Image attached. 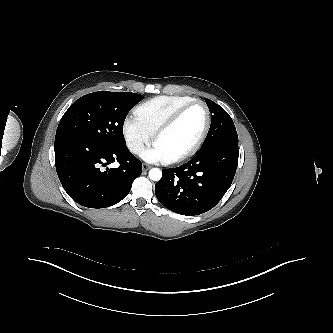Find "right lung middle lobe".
Wrapping results in <instances>:
<instances>
[{
    "mask_svg": "<svg viewBox=\"0 0 333 333\" xmlns=\"http://www.w3.org/2000/svg\"><path fill=\"white\" fill-rule=\"evenodd\" d=\"M143 96L130 92L98 91L82 96L65 112L55 138L72 137L108 147L126 145L124 120Z\"/></svg>",
    "mask_w": 333,
    "mask_h": 333,
    "instance_id": "obj_1",
    "label": "right lung middle lobe"
}]
</instances>
